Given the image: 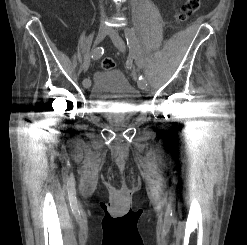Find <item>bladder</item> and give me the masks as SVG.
<instances>
[{
    "label": "bladder",
    "instance_id": "bladder-1",
    "mask_svg": "<svg viewBox=\"0 0 247 245\" xmlns=\"http://www.w3.org/2000/svg\"><path fill=\"white\" fill-rule=\"evenodd\" d=\"M88 100L101 115L131 114L137 111L141 95L122 71L106 69L96 73L89 89ZM112 109L116 111H111Z\"/></svg>",
    "mask_w": 247,
    "mask_h": 245
}]
</instances>
